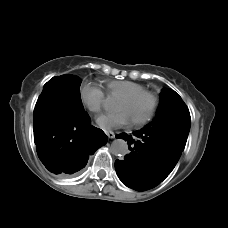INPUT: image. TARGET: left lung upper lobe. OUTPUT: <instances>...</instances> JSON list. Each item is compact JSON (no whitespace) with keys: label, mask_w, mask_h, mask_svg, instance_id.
I'll return each mask as SVG.
<instances>
[{"label":"left lung upper lobe","mask_w":228,"mask_h":228,"mask_svg":"<svg viewBox=\"0 0 228 228\" xmlns=\"http://www.w3.org/2000/svg\"><path fill=\"white\" fill-rule=\"evenodd\" d=\"M191 118L181 97L173 90L165 88L161 92L159 109L155 119L144 128L168 129L170 132L189 133Z\"/></svg>","instance_id":"left-lung-upper-lobe-1"}]
</instances>
